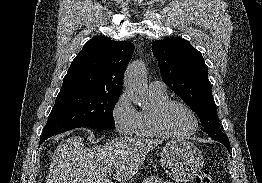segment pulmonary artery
<instances>
[{
	"mask_svg": "<svg viewBox=\"0 0 262 183\" xmlns=\"http://www.w3.org/2000/svg\"><path fill=\"white\" fill-rule=\"evenodd\" d=\"M149 91L151 93H166L167 92V87L165 83L161 81H152L149 85Z\"/></svg>",
	"mask_w": 262,
	"mask_h": 183,
	"instance_id": "obj_1",
	"label": "pulmonary artery"
}]
</instances>
